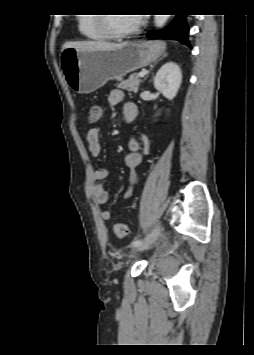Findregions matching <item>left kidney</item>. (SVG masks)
Returning a JSON list of instances; mask_svg holds the SVG:
<instances>
[{
    "label": "left kidney",
    "mask_w": 254,
    "mask_h": 355,
    "mask_svg": "<svg viewBox=\"0 0 254 355\" xmlns=\"http://www.w3.org/2000/svg\"><path fill=\"white\" fill-rule=\"evenodd\" d=\"M181 82V69L174 62L162 65L154 77V87L168 100H172L177 95Z\"/></svg>",
    "instance_id": "1"
}]
</instances>
